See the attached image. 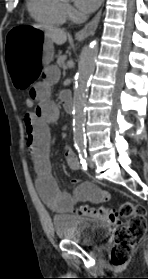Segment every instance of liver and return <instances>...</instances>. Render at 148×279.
<instances>
[{
  "mask_svg": "<svg viewBox=\"0 0 148 279\" xmlns=\"http://www.w3.org/2000/svg\"><path fill=\"white\" fill-rule=\"evenodd\" d=\"M32 27L44 31L46 37L57 45H62L67 40V34L63 29L46 25H33Z\"/></svg>",
  "mask_w": 148,
  "mask_h": 279,
  "instance_id": "1",
  "label": "liver"
}]
</instances>
